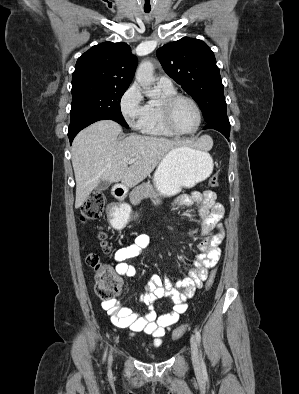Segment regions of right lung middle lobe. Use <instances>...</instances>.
Instances as JSON below:
<instances>
[{"label": "right lung middle lobe", "mask_w": 299, "mask_h": 394, "mask_svg": "<svg viewBox=\"0 0 299 394\" xmlns=\"http://www.w3.org/2000/svg\"><path fill=\"white\" fill-rule=\"evenodd\" d=\"M128 87L85 85L72 87L71 121L78 118L104 117L128 127L120 101Z\"/></svg>", "instance_id": "1"}]
</instances>
